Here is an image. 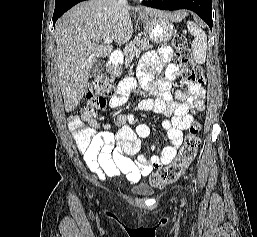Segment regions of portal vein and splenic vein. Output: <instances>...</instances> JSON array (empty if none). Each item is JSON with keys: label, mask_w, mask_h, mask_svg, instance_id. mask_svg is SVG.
I'll use <instances>...</instances> for the list:
<instances>
[{"label": "portal vein and splenic vein", "mask_w": 257, "mask_h": 237, "mask_svg": "<svg viewBox=\"0 0 257 237\" xmlns=\"http://www.w3.org/2000/svg\"><path fill=\"white\" fill-rule=\"evenodd\" d=\"M112 38H110V37H106L105 39H104V43L105 44H110V43H112Z\"/></svg>", "instance_id": "1"}]
</instances>
